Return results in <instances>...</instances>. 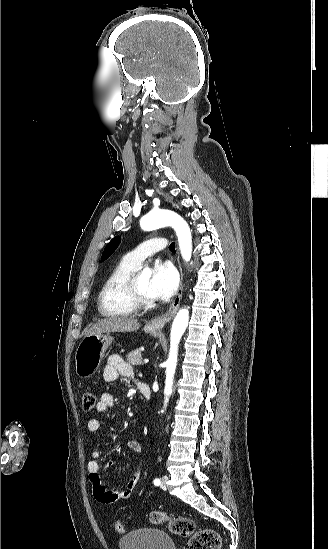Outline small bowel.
<instances>
[{"label":"small bowel","instance_id":"1","mask_svg":"<svg viewBox=\"0 0 328 549\" xmlns=\"http://www.w3.org/2000/svg\"><path fill=\"white\" fill-rule=\"evenodd\" d=\"M134 375L132 366L127 363L120 355L111 354L107 358L106 365L103 369V379L105 382H114L119 376L131 377ZM114 405V397L111 393L104 392L100 395L95 409L99 413L107 412ZM101 428V423L96 418H91L87 421V429L90 432H98ZM128 449L136 454L142 453V445L135 439H130L126 442ZM101 451L93 449L90 453V460L87 464L89 480L93 486V493L96 500L102 504H112L120 500H125L131 497L141 477V468L137 466L132 476L129 478L125 487L121 490H111L106 487L101 479L99 459ZM114 460H110L107 467L112 466Z\"/></svg>","mask_w":328,"mask_h":549}]
</instances>
